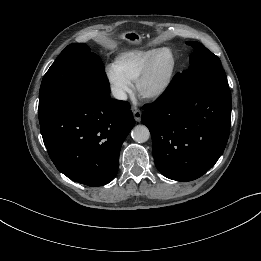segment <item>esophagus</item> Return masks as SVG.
<instances>
[{
    "label": "esophagus",
    "instance_id": "esophagus-1",
    "mask_svg": "<svg viewBox=\"0 0 261 261\" xmlns=\"http://www.w3.org/2000/svg\"><path fill=\"white\" fill-rule=\"evenodd\" d=\"M131 110L133 112V116H134L135 121L136 122H140L141 121L142 112L136 106H132Z\"/></svg>",
    "mask_w": 261,
    "mask_h": 261
}]
</instances>
